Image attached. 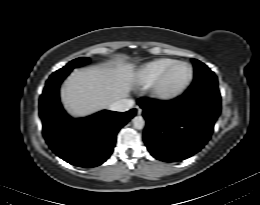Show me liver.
<instances>
[{"label":"liver","mask_w":260,"mask_h":205,"mask_svg":"<svg viewBox=\"0 0 260 205\" xmlns=\"http://www.w3.org/2000/svg\"><path fill=\"white\" fill-rule=\"evenodd\" d=\"M134 67L120 60L112 65L75 70L61 88L65 109L71 116L79 118L128 97L137 78Z\"/></svg>","instance_id":"liver-1"}]
</instances>
